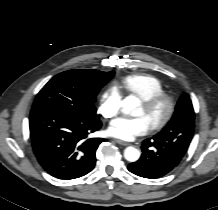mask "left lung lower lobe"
<instances>
[{
    "label": "left lung lower lobe",
    "instance_id": "1",
    "mask_svg": "<svg viewBox=\"0 0 218 210\" xmlns=\"http://www.w3.org/2000/svg\"><path fill=\"white\" fill-rule=\"evenodd\" d=\"M140 159L128 165V170L144 178H159L170 172L180 162L187 149L168 146L166 141L148 138L143 141Z\"/></svg>",
    "mask_w": 218,
    "mask_h": 210
}]
</instances>
